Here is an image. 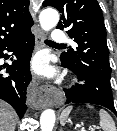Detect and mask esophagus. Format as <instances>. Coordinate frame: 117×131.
Here are the masks:
<instances>
[{"label": "esophagus", "instance_id": "esophagus-1", "mask_svg": "<svg viewBox=\"0 0 117 131\" xmlns=\"http://www.w3.org/2000/svg\"><path fill=\"white\" fill-rule=\"evenodd\" d=\"M44 34L42 31L36 35V49H40L43 46ZM39 80L37 77H33L32 88L29 92V103L30 106L35 109H42L50 104L53 97L58 94L55 87L50 85L39 86Z\"/></svg>", "mask_w": 117, "mask_h": 131}]
</instances>
